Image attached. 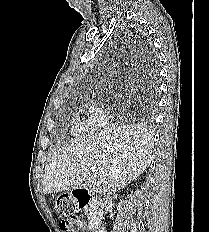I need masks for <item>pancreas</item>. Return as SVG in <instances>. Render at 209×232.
<instances>
[{
  "mask_svg": "<svg viewBox=\"0 0 209 232\" xmlns=\"http://www.w3.org/2000/svg\"><path fill=\"white\" fill-rule=\"evenodd\" d=\"M99 214H100V212L95 206L90 207L88 209V213L86 215L89 223H92L95 220L99 219Z\"/></svg>",
  "mask_w": 209,
  "mask_h": 232,
  "instance_id": "cf45deb5",
  "label": "pancreas"
}]
</instances>
